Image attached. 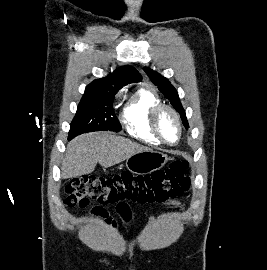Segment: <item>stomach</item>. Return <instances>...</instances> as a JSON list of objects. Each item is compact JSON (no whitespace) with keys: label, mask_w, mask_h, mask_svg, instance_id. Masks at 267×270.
I'll return each mask as SVG.
<instances>
[{"label":"stomach","mask_w":267,"mask_h":270,"mask_svg":"<svg viewBox=\"0 0 267 270\" xmlns=\"http://www.w3.org/2000/svg\"><path fill=\"white\" fill-rule=\"evenodd\" d=\"M168 160V156L162 152L142 151L129 157L126 167L131 173L148 174L162 168Z\"/></svg>","instance_id":"obj_1"}]
</instances>
